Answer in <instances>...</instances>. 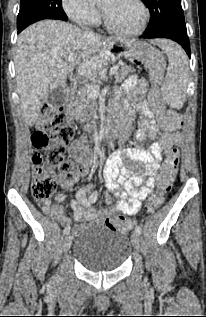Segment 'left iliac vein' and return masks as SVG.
<instances>
[{"mask_svg": "<svg viewBox=\"0 0 206 317\" xmlns=\"http://www.w3.org/2000/svg\"><path fill=\"white\" fill-rule=\"evenodd\" d=\"M131 241L133 246L138 249L140 246V240H139V236L136 233H133L131 236Z\"/></svg>", "mask_w": 206, "mask_h": 317, "instance_id": "left-iliac-vein-1", "label": "left iliac vein"}]
</instances>
